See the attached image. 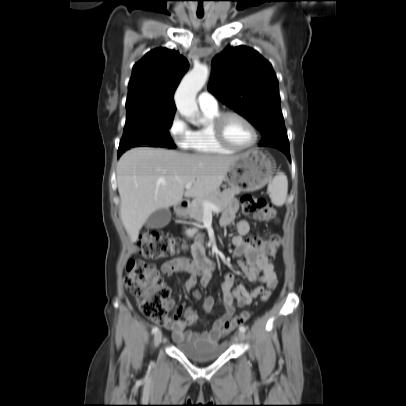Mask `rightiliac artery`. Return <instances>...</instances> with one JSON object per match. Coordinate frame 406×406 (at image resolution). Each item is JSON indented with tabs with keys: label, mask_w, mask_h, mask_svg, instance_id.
Listing matches in <instances>:
<instances>
[{
	"label": "right iliac artery",
	"mask_w": 406,
	"mask_h": 406,
	"mask_svg": "<svg viewBox=\"0 0 406 406\" xmlns=\"http://www.w3.org/2000/svg\"><path fill=\"white\" fill-rule=\"evenodd\" d=\"M158 331H159L158 327H153V329H152V333H153V334H155V333L158 332Z\"/></svg>",
	"instance_id": "right-iliac-artery-1"
}]
</instances>
